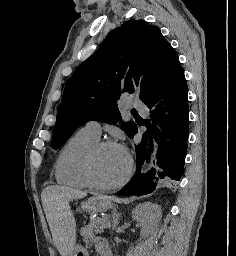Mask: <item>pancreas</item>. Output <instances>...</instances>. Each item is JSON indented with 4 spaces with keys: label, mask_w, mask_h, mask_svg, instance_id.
<instances>
[{
    "label": "pancreas",
    "mask_w": 236,
    "mask_h": 256,
    "mask_svg": "<svg viewBox=\"0 0 236 256\" xmlns=\"http://www.w3.org/2000/svg\"><path fill=\"white\" fill-rule=\"evenodd\" d=\"M99 230H95V234H101L103 232L102 226L104 228H108L107 222H104V220H101V222H91V224H85V227L81 228V234L84 236L82 238V243L86 244V248L88 246H92L91 243H101V238H95V235L93 234V231H91L92 227H99Z\"/></svg>",
    "instance_id": "1"
}]
</instances>
